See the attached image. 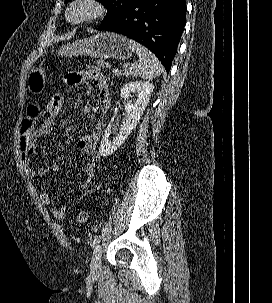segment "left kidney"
I'll list each match as a JSON object with an SVG mask.
<instances>
[{"label":"left kidney","instance_id":"5707ae66","mask_svg":"<svg viewBox=\"0 0 272 303\" xmlns=\"http://www.w3.org/2000/svg\"><path fill=\"white\" fill-rule=\"evenodd\" d=\"M153 89V83L148 81H133L123 85L120 94L121 98L128 99L131 96V93H137L138 99L134 104L130 102L126 103V117L120 131L113 140H109L112 123L108 124L99 147V154L101 156L106 157L113 154L124 143L145 111Z\"/></svg>","mask_w":272,"mask_h":303}]
</instances>
